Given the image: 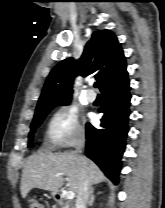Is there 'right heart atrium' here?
Returning a JSON list of instances; mask_svg holds the SVG:
<instances>
[{
    "mask_svg": "<svg viewBox=\"0 0 165 208\" xmlns=\"http://www.w3.org/2000/svg\"><path fill=\"white\" fill-rule=\"evenodd\" d=\"M84 136L79 121V113L75 107L64 106L51 117L47 138L51 145L59 147L73 146L79 143Z\"/></svg>",
    "mask_w": 165,
    "mask_h": 208,
    "instance_id": "obj_1",
    "label": "right heart atrium"
}]
</instances>
